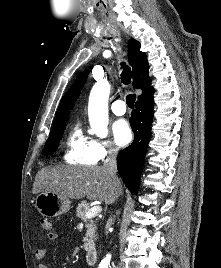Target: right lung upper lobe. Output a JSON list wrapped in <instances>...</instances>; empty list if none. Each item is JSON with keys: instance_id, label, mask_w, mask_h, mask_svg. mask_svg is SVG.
<instances>
[{"instance_id": "obj_1", "label": "right lung upper lobe", "mask_w": 221, "mask_h": 268, "mask_svg": "<svg viewBox=\"0 0 221 268\" xmlns=\"http://www.w3.org/2000/svg\"><path fill=\"white\" fill-rule=\"evenodd\" d=\"M140 47L141 45L137 40H129L128 60L133 71V87L142 90V94L138 97L139 100H142L151 96L154 93V88L151 86V79L148 76L149 64L147 56L144 52L140 51ZM87 77L88 71L81 72L62 98L56 112L53 127L68 120L70 109L73 108L74 102L79 97Z\"/></svg>"}]
</instances>
